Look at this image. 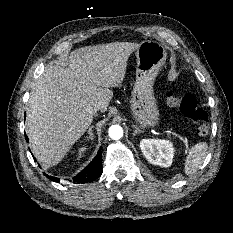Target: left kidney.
<instances>
[{
  "label": "left kidney",
  "mask_w": 233,
  "mask_h": 233,
  "mask_svg": "<svg viewBox=\"0 0 233 233\" xmlns=\"http://www.w3.org/2000/svg\"><path fill=\"white\" fill-rule=\"evenodd\" d=\"M140 148L150 163L166 168L172 164L174 148L171 142L161 139H142Z\"/></svg>",
  "instance_id": "5707ae66"
}]
</instances>
